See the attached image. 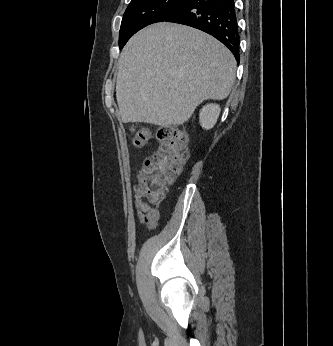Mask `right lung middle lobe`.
<instances>
[{"mask_svg":"<svg viewBox=\"0 0 333 346\" xmlns=\"http://www.w3.org/2000/svg\"><path fill=\"white\" fill-rule=\"evenodd\" d=\"M184 0H131L120 28L119 47L140 29L164 21Z\"/></svg>","mask_w":333,"mask_h":346,"instance_id":"right-lung-middle-lobe-1","label":"right lung middle lobe"}]
</instances>
